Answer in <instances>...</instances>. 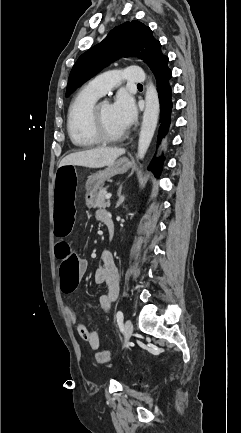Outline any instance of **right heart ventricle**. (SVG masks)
<instances>
[{
	"label": "right heart ventricle",
	"instance_id": "right-heart-ventricle-1",
	"mask_svg": "<svg viewBox=\"0 0 241 433\" xmlns=\"http://www.w3.org/2000/svg\"><path fill=\"white\" fill-rule=\"evenodd\" d=\"M98 98L84 87L70 105L67 129L71 142L78 148H91L99 144L90 128L91 110Z\"/></svg>",
	"mask_w": 241,
	"mask_h": 433
}]
</instances>
